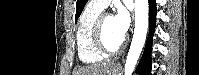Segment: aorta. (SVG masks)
<instances>
[{
  "label": "aorta",
  "mask_w": 199,
  "mask_h": 75,
  "mask_svg": "<svg viewBox=\"0 0 199 75\" xmlns=\"http://www.w3.org/2000/svg\"><path fill=\"white\" fill-rule=\"evenodd\" d=\"M148 0H135V29L132 43L126 58L125 75H131L135 69L148 30Z\"/></svg>",
  "instance_id": "aorta-1"
}]
</instances>
